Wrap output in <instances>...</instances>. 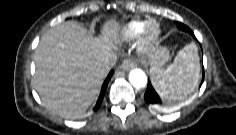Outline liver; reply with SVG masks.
I'll return each instance as SVG.
<instances>
[{
	"mask_svg": "<svg viewBox=\"0 0 236 135\" xmlns=\"http://www.w3.org/2000/svg\"><path fill=\"white\" fill-rule=\"evenodd\" d=\"M122 33L116 21L106 22L100 37L74 21L48 30L34 53L33 84L43 105L61 116L83 113L97 97Z\"/></svg>",
	"mask_w": 236,
	"mask_h": 135,
	"instance_id": "obj_1",
	"label": "liver"
}]
</instances>
